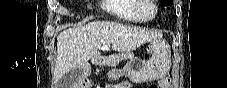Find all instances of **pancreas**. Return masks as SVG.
<instances>
[{"mask_svg": "<svg viewBox=\"0 0 227 88\" xmlns=\"http://www.w3.org/2000/svg\"><path fill=\"white\" fill-rule=\"evenodd\" d=\"M133 57H134L133 53H131L129 51H123L121 53H117V54L113 55L112 59L119 62L121 60L133 59Z\"/></svg>", "mask_w": 227, "mask_h": 88, "instance_id": "1", "label": "pancreas"}]
</instances>
